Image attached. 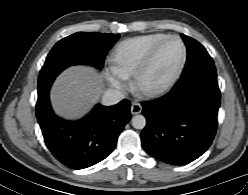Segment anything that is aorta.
Masks as SVG:
<instances>
[{"label":"aorta","instance_id":"762f6f07","mask_svg":"<svg viewBox=\"0 0 248 195\" xmlns=\"http://www.w3.org/2000/svg\"><path fill=\"white\" fill-rule=\"evenodd\" d=\"M131 122L135 129H143L146 126V118L143 115H135Z\"/></svg>","mask_w":248,"mask_h":195}]
</instances>
